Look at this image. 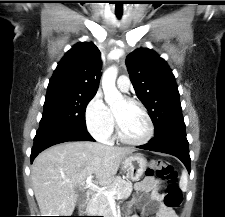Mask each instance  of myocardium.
I'll return each mask as SVG.
<instances>
[{"instance_id": "f54148a6", "label": "myocardium", "mask_w": 225, "mask_h": 217, "mask_svg": "<svg viewBox=\"0 0 225 217\" xmlns=\"http://www.w3.org/2000/svg\"><path fill=\"white\" fill-rule=\"evenodd\" d=\"M124 100L127 103L132 104V105H136L137 107L140 108V110L144 114V116L146 118V121H147V132H146V135L140 140H131V139L126 138L123 135V133L121 131L120 124H119V121H118L115 113L113 112L114 118H115V124H116L117 137L122 143L127 144V145H132V146L144 145L152 139L153 134H154V125H153V121L151 119V116H150L148 110L146 109V107L139 100L131 98V97H124Z\"/></svg>"}]
</instances>
